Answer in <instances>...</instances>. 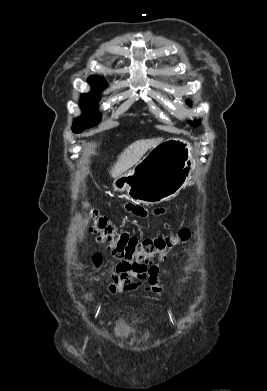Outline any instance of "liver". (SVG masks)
Here are the masks:
<instances>
[{
	"instance_id": "obj_1",
	"label": "liver",
	"mask_w": 267,
	"mask_h": 391,
	"mask_svg": "<svg viewBox=\"0 0 267 391\" xmlns=\"http://www.w3.org/2000/svg\"><path fill=\"white\" fill-rule=\"evenodd\" d=\"M162 140L163 138L138 140L126 147L118 156L114 166H112L110 175L113 178L123 175V173L136 165L148 150L160 144Z\"/></svg>"
}]
</instances>
